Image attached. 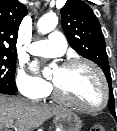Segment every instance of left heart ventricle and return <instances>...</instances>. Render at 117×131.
<instances>
[{
  "label": "left heart ventricle",
  "mask_w": 117,
  "mask_h": 131,
  "mask_svg": "<svg viewBox=\"0 0 117 131\" xmlns=\"http://www.w3.org/2000/svg\"><path fill=\"white\" fill-rule=\"evenodd\" d=\"M52 80L70 98L79 103L96 107L102 102L103 91L96 73L86 65H78L69 69L57 68Z\"/></svg>",
  "instance_id": "b2bd125f"
}]
</instances>
